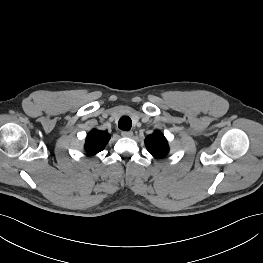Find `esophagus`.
Segmentation results:
<instances>
[{
	"label": "esophagus",
	"mask_w": 263,
	"mask_h": 263,
	"mask_svg": "<svg viewBox=\"0 0 263 263\" xmlns=\"http://www.w3.org/2000/svg\"><path fill=\"white\" fill-rule=\"evenodd\" d=\"M121 135L123 137H132L133 136V132L132 131H122Z\"/></svg>",
	"instance_id": "esophagus-1"
}]
</instances>
